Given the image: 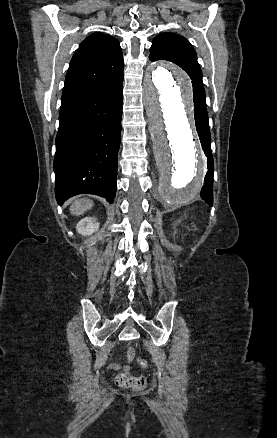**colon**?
Masks as SVG:
<instances>
[{"label":"colon","mask_w":277,"mask_h":438,"mask_svg":"<svg viewBox=\"0 0 277 438\" xmlns=\"http://www.w3.org/2000/svg\"><path fill=\"white\" fill-rule=\"evenodd\" d=\"M135 357H136V353L134 349H129L128 358L132 360ZM141 363L145 365L144 361H141ZM115 382L119 386L127 389H155L156 388L155 380H146L144 377L133 376L125 372L116 375Z\"/></svg>","instance_id":"obj_1"}]
</instances>
